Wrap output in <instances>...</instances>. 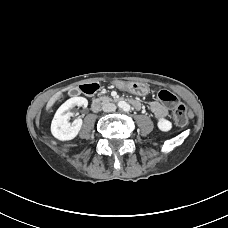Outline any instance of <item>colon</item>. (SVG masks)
<instances>
[{
  "instance_id": "obj_1",
  "label": "colon",
  "mask_w": 228,
  "mask_h": 228,
  "mask_svg": "<svg viewBox=\"0 0 228 228\" xmlns=\"http://www.w3.org/2000/svg\"><path fill=\"white\" fill-rule=\"evenodd\" d=\"M158 98L164 104L174 108L173 116L176 124L183 126L188 123L190 119V112L183 103L179 102L174 94L167 90H161L158 93Z\"/></svg>"
}]
</instances>
